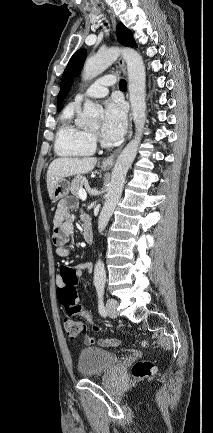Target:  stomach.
I'll list each match as a JSON object with an SVG mask.
<instances>
[{"label": "stomach", "instance_id": "1", "mask_svg": "<svg viewBox=\"0 0 213 433\" xmlns=\"http://www.w3.org/2000/svg\"><path fill=\"white\" fill-rule=\"evenodd\" d=\"M102 169H106L105 167H102ZM70 190V183L66 179H61L57 185L55 186L53 193L51 194L50 198L52 202H56L57 200L64 198L68 195Z\"/></svg>", "mask_w": 213, "mask_h": 433}]
</instances>
